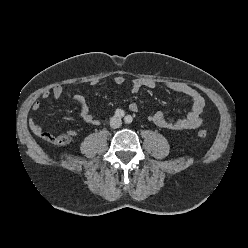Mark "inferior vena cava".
<instances>
[{
    "label": "inferior vena cava",
    "mask_w": 248,
    "mask_h": 248,
    "mask_svg": "<svg viewBox=\"0 0 248 248\" xmlns=\"http://www.w3.org/2000/svg\"><path fill=\"white\" fill-rule=\"evenodd\" d=\"M122 125V121L120 118L112 117L110 120V126L114 129L119 128Z\"/></svg>",
    "instance_id": "1"
}]
</instances>
